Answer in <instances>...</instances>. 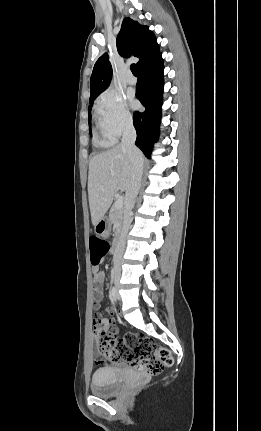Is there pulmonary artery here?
Returning a JSON list of instances; mask_svg holds the SVG:
<instances>
[{"instance_id":"pulmonary-artery-1","label":"pulmonary artery","mask_w":261,"mask_h":431,"mask_svg":"<svg viewBox=\"0 0 261 431\" xmlns=\"http://www.w3.org/2000/svg\"><path fill=\"white\" fill-rule=\"evenodd\" d=\"M126 82L129 85H134L136 83V79L135 77L131 74V72L128 73L127 77H126Z\"/></svg>"}]
</instances>
